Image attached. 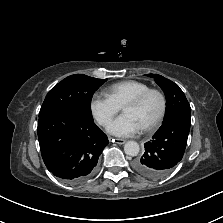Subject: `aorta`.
I'll return each mask as SVG.
<instances>
[{
	"mask_svg": "<svg viewBox=\"0 0 223 223\" xmlns=\"http://www.w3.org/2000/svg\"><path fill=\"white\" fill-rule=\"evenodd\" d=\"M139 144L135 141H128L125 145H124V152L126 155L129 156H137L139 153Z\"/></svg>",
	"mask_w": 223,
	"mask_h": 223,
	"instance_id": "aorta-1",
	"label": "aorta"
}]
</instances>
